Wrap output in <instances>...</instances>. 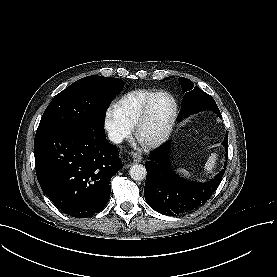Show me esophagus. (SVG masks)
Returning a JSON list of instances; mask_svg holds the SVG:
<instances>
[{
    "label": "esophagus",
    "mask_w": 277,
    "mask_h": 277,
    "mask_svg": "<svg viewBox=\"0 0 277 277\" xmlns=\"http://www.w3.org/2000/svg\"><path fill=\"white\" fill-rule=\"evenodd\" d=\"M132 157H133V161L136 163L142 161V156L137 152H133Z\"/></svg>",
    "instance_id": "esophagus-1"
}]
</instances>
